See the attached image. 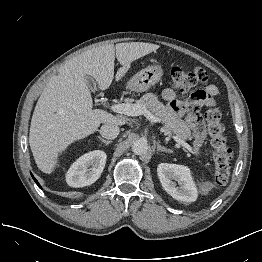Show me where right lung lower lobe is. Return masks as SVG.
Listing matches in <instances>:
<instances>
[{"label": "right lung lower lobe", "mask_w": 262, "mask_h": 262, "mask_svg": "<svg viewBox=\"0 0 262 262\" xmlns=\"http://www.w3.org/2000/svg\"><path fill=\"white\" fill-rule=\"evenodd\" d=\"M33 177V176H32ZM34 181L37 183V185L40 187L38 181L33 177Z\"/></svg>", "instance_id": "98d812e1"}]
</instances>
